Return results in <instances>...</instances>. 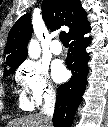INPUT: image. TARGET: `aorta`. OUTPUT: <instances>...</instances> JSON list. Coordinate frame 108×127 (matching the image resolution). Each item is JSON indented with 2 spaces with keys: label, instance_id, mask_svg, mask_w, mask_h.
I'll return each mask as SVG.
<instances>
[{
  "label": "aorta",
  "instance_id": "762f6f07",
  "mask_svg": "<svg viewBox=\"0 0 108 127\" xmlns=\"http://www.w3.org/2000/svg\"><path fill=\"white\" fill-rule=\"evenodd\" d=\"M28 55L32 59H38L40 57V46L36 40H31L28 46Z\"/></svg>",
  "mask_w": 108,
  "mask_h": 127
}]
</instances>
